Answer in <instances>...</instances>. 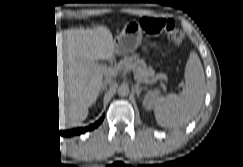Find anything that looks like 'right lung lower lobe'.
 I'll return each mask as SVG.
<instances>
[{"mask_svg":"<svg viewBox=\"0 0 243 167\" xmlns=\"http://www.w3.org/2000/svg\"><path fill=\"white\" fill-rule=\"evenodd\" d=\"M39 92V100L37 101V104L35 105V111H36V118H37V120H38V122H39V124H41L42 123V119L46 116V109L44 108V104H43V102H42V104H41V96H40V89L38 90ZM45 109V110H44ZM45 115V116H44ZM103 119H104V115L96 122V123H94V124H92V125H90V126H88V127H85V128H80V129H72V130H64V131H61V130H59V128H58V130H56V131H54L56 134H58V135H62V136H71V135H79V134H82V133H84V132H86V131H90V130H92V129H94V128H96V127H98V125H100L101 124V122L103 121ZM58 122H59V112H58ZM45 124L43 123V126H44ZM45 129H46V127H45Z\"/></svg>","mask_w":243,"mask_h":167,"instance_id":"right-lung-lower-lobe-1","label":"right lung lower lobe"}]
</instances>
